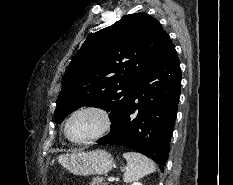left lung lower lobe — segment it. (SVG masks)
Wrapping results in <instances>:
<instances>
[{
	"mask_svg": "<svg viewBox=\"0 0 233 185\" xmlns=\"http://www.w3.org/2000/svg\"><path fill=\"white\" fill-rule=\"evenodd\" d=\"M181 69L171 40L147 68L117 124L100 144L136 150L159 164L163 172L180 98ZM138 99V103L135 101Z\"/></svg>",
	"mask_w": 233,
	"mask_h": 185,
	"instance_id": "left-lung-lower-lobe-1",
	"label": "left lung lower lobe"
}]
</instances>
